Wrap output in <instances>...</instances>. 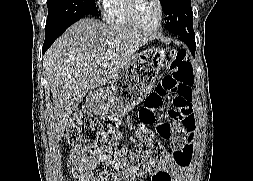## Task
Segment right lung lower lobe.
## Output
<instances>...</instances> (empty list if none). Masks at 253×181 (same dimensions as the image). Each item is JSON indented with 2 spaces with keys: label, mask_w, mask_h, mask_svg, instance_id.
<instances>
[{
  "label": "right lung lower lobe",
  "mask_w": 253,
  "mask_h": 181,
  "mask_svg": "<svg viewBox=\"0 0 253 181\" xmlns=\"http://www.w3.org/2000/svg\"><path fill=\"white\" fill-rule=\"evenodd\" d=\"M76 22V21H75ZM74 23V22H73ZM73 23H70L69 25L51 32V33H45L46 37H45V41H44V45H43V53H45V51L51 46V44L60 36L64 33V31Z\"/></svg>",
  "instance_id": "1"
}]
</instances>
